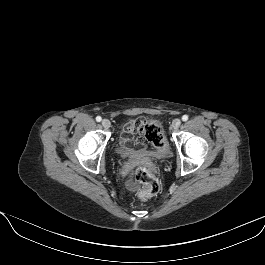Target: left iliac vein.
Wrapping results in <instances>:
<instances>
[{
    "instance_id": "1",
    "label": "left iliac vein",
    "mask_w": 265,
    "mask_h": 265,
    "mask_svg": "<svg viewBox=\"0 0 265 265\" xmlns=\"http://www.w3.org/2000/svg\"><path fill=\"white\" fill-rule=\"evenodd\" d=\"M180 125H181V120L179 118H176V119L173 120L172 128L174 130L178 129L180 127Z\"/></svg>"
}]
</instances>
